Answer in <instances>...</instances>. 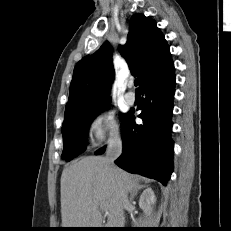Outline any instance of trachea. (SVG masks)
<instances>
[{
	"label": "trachea",
	"mask_w": 231,
	"mask_h": 231,
	"mask_svg": "<svg viewBox=\"0 0 231 231\" xmlns=\"http://www.w3.org/2000/svg\"><path fill=\"white\" fill-rule=\"evenodd\" d=\"M134 85L137 87L138 86V80L134 81Z\"/></svg>",
	"instance_id": "obj_1"
}]
</instances>
